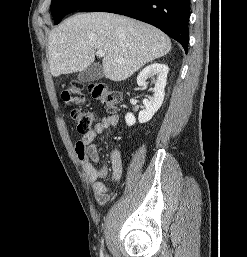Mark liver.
Returning a JSON list of instances; mask_svg holds the SVG:
<instances>
[{"instance_id": "liver-1", "label": "liver", "mask_w": 247, "mask_h": 257, "mask_svg": "<svg viewBox=\"0 0 247 257\" xmlns=\"http://www.w3.org/2000/svg\"><path fill=\"white\" fill-rule=\"evenodd\" d=\"M96 50L105 52V77L117 82L166 55L171 40L156 27L129 17L102 12L76 14L49 34L51 74L82 72L94 62Z\"/></svg>"}]
</instances>
